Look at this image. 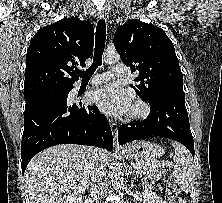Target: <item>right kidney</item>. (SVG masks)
I'll return each mask as SVG.
<instances>
[{
    "mask_svg": "<svg viewBox=\"0 0 222 203\" xmlns=\"http://www.w3.org/2000/svg\"><path fill=\"white\" fill-rule=\"evenodd\" d=\"M69 203H83L82 197L73 198Z\"/></svg>",
    "mask_w": 222,
    "mask_h": 203,
    "instance_id": "right-kidney-1",
    "label": "right kidney"
}]
</instances>
